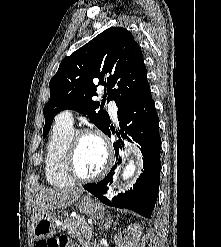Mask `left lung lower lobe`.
<instances>
[{
    "label": "left lung lower lobe",
    "instance_id": "left-lung-lower-lobe-1",
    "mask_svg": "<svg viewBox=\"0 0 221 247\" xmlns=\"http://www.w3.org/2000/svg\"><path fill=\"white\" fill-rule=\"evenodd\" d=\"M117 115L120 130L115 132L109 125L105 132L110 137L112 131L119 138V141L113 144L116 163L102 181L86 184L84 189L106 205L126 208L150 218L158 196L161 168L159 123L152 96L149 95L120 105ZM132 140L141 146L144 169L133 188L112 198L108 194V186L113 182L121 163L120 155L124 142Z\"/></svg>",
    "mask_w": 221,
    "mask_h": 247
}]
</instances>
